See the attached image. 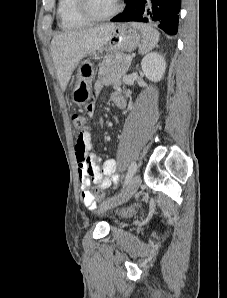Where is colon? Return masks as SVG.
Listing matches in <instances>:
<instances>
[{"label": "colon", "instance_id": "obj_1", "mask_svg": "<svg viewBox=\"0 0 227 298\" xmlns=\"http://www.w3.org/2000/svg\"><path fill=\"white\" fill-rule=\"evenodd\" d=\"M72 125H73V129H74V134L76 137V146L75 149L81 154L83 155L84 153V148H85V144H84V136L86 133H88L89 130V120L88 117L86 115L83 114H74L72 116ZM95 196L97 198V200L101 201L104 199L105 195L103 193V191H101L100 189L96 188L95 191ZM133 207L137 206L136 202L132 203ZM117 212L120 213H115L113 216L115 218H131L132 217V213H138L139 209L138 208H118ZM129 212V213H128Z\"/></svg>", "mask_w": 227, "mask_h": 298}]
</instances>
